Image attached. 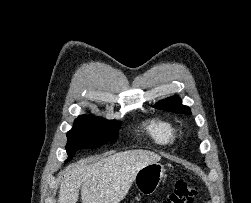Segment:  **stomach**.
<instances>
[{
  "mask_svg": "<svg viewBox=\"0 0 251 203\" xmlns=\"http://www.w3.org/2000/svg\"><path fill=\"white\" fill-rule=\"evenodd\" d=\"M164 172V166L158 162L144 166L135 176L134 183L136 188L144 195L153 194L158 188Z\"/></svg>",
  "mask_w": 251,
  "mask_h": 203,
  "instance_id": "stomach-1",
  "label": "stomach"
}]
</instances>
